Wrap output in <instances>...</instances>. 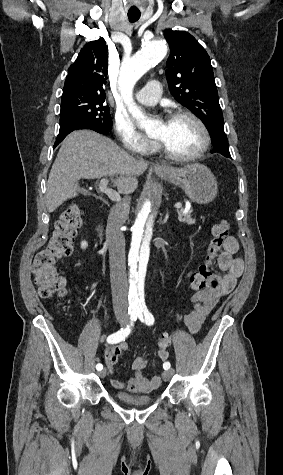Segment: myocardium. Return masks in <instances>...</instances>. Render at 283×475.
Instances as JSON below:
<instances>
[{
  "label": "myocardium",
  "instance_id": "f54148a6",
  "mask_svg": "<svg viewBox=\"0 0 283 475\" xmlns=\"http://www.w3.org/2000/svg\"><path fill=\"white\" fill-rule=\"evenodd\" d=\"M179 117H185L192 120L200 128L202 132L201 143L195 152L186 156H175L169 152L165 144L160 139L155 138V140H156L159 152L166 159H168L172 163L183 165V164H187V163H191V162H195L199 160L207 152L210 146V133L206 124L196 114L190 111H185V110H176V111L171 112L170 114V118H179Z\"/></svg>",
  "mask_w": 283,
  "mask_h": 475
}]
</instances>
